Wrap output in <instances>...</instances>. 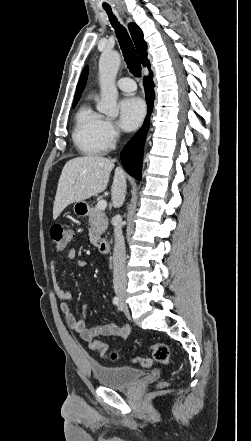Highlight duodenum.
<instances>
[{"mask_svg":"<svg viewBox=\"0 0 251 441\" xmlns=\"http://www.w3.org/2000/svg\"><path fill=\"white\" fill-rule=\"evenodd\" d=\"M86 212L87 211L84 210L82 214H85ZM97 247L100 252L107 253V252H109V249H110V243L106 238H101L97 242Z\"/></svg>","mask_w":251,"mask_h":441,"instance_id":"duodenum-1","label":"duodenum"}]
</instances>
